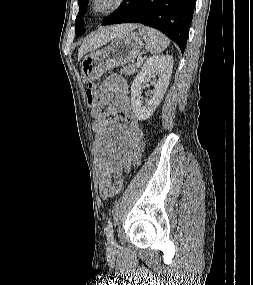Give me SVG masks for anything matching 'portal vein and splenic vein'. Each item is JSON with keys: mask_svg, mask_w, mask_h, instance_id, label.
<instances>
[{"mask_svg": "<svg viewBox=\"0 0 253 285\" xmlns=\"http://www.w3.org/2000/svg\"><path fill=\"white\" fill-rule=\"evenodd\" d=\"M142 61H143V60H142V58L138 59V61H137V64H136V65H137V66H140V65H141V63H142Z\"/></svg>", "mask_w": 253, "mask_h": 285, "instance_id": "18ae733b", "label": "portal vein and splenic vein"}]
</instances>
